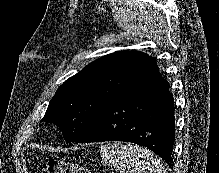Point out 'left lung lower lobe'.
Masks as SVG:
<instances>
[{"mask_svg": "<svg viewBox=\"0 0 219 173\" xmlns=\"http://www.w3.org/2000/svg\"><path fill=\"white\" fill-rule=\"evenodd\" d=\"M173 95L150 57L137 80L110 102L75 142L125 141L145 146L171 166Z\"/></svg>", "mask_w": 219, "mask_h": 173, "instance_id": "1", "label": "left lung lower lobe"}]
</instances>
